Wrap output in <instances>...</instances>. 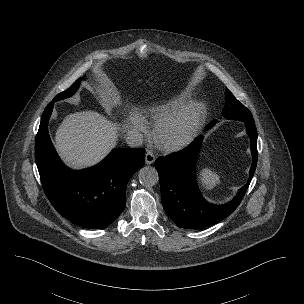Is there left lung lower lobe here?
I'll return each mask as SVG.
<instances>
[{
	"label": "left lung lower lobe",
	"mask_w": 304,
	"mask_h": 304,
	"mask_svg": "<svg viewBox=\"0 0 304 304\" xmlns=\"http://www.w3.org/2000/svg\"><path fill=\"white\" fill-rule=\"evenodd\" d=\"M243 122L246 124V131L250 137L252 166L247 184L241 187L234 199L227 204L208 203L198 189L195 164L202 136L185 149L166 157H159L155 161L160 180L162 205L178 227L201 229L214 225L233 213L240 204L254 175L258 159L255 124L252 121ZM214 124L215 122L212 121L207 128Z\"/></svg>",
	"instance_id": "1"
}]
</instances>
